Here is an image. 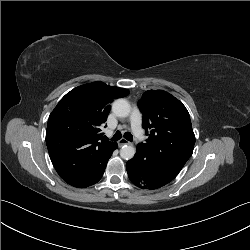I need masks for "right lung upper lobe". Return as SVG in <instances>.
Listing matches in <instances>:
<instances>
[{
    "label": "right lung upper lobe",
    "mask_w": 250,
    "mask_h": 250,
    "mask_svg": "<svg viewBox=\"0 0 250 250\" xmlns=\"http://www.w3.org/2000/svg\"><path fill=\"white\" fill-rule=\"evenodd\" d=\"M129 90L93 82L74 88L49 116L46 145L59 176L85 188L99 181L117 143L102 139L110 103Z\"/></svg>",
    "instance_id": "right-lung-upper-lobe-1"
}]
</instances>
